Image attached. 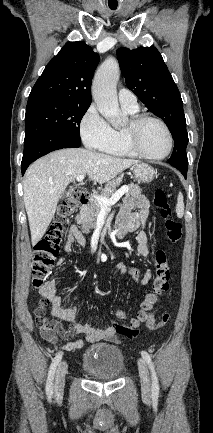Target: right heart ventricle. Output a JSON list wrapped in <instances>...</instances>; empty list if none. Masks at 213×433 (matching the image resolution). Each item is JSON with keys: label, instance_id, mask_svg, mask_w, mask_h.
<instances>
[{"label": "right heart ventricle", "instance_id": "1", "mask_svg": "<svg viewBox=\"0 0 213 433\" xmlns=\"http://www.w3.org/2000/svg\"><path fill=\"white\" fill-rule=\"evenodd\" d=\"M123 109L131 116L136 115L138 112V109L132 110L126 107H123ZM100 150L106 154L113 155V156H120V157L137 156L128 147L124 138L123 129L121 128H111L109 139Z\"/></svg>", "mask_w": 213, "mask_h": 433}]
</instances>
